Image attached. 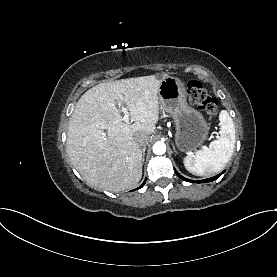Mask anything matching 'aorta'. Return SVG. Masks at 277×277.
<instances>
[{
    "instance_id": "obj_1",
    "label": "aorta",
    "mask_w": 277,
    "mask_h": 277,
    "mask_svg": "<svg viewBox=\"0 0 277 277\" xmlns=\"http://www.w3.org/2000/svg\"><path fill=\"white\" fill-rule=\"evenodd\" d=\"M153 152L156 154V155H162L166 152V145L165 143L163 142H156L154 145H153Z\"/></svg>"
}]
</instances>
